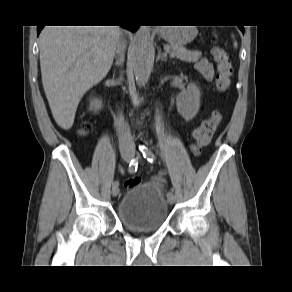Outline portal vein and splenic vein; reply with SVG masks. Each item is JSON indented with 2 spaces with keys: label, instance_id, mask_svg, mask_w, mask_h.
<instances>
[{
  "label": "portal vein and splenic vein",
  "instance_id": "portal-vein-and-splenic-vein-1",
  "mask_svg": "<svg viewBox=\"0 0 292 292\" xmlns=\"http://www.w3.org/2000/svg\"><path fill=\"white\" fill-rule=\"evenodd\" d=\"M170 55H171V56H174V54H173V53H170Z\"/></svg>",
  "mask_w": 292,
  "mask_h": 292
}]
</instances>
